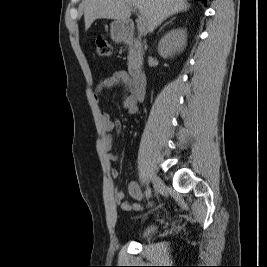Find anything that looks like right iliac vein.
<instances>
[{"instance_id": "1", "label": "right iliac vein", "mask_w": 267, "mask_h": 267, "mask_svg": "<svg viewBox=\"0 0 267 267\" xmlns=\"http://www.w3.org/2000/svg\"><path fill=\"white\" fill-rule=\"evenodd\" d=\"M151 180H152L155 192L161 193L165 188V184L156 175H152Z\"/></svg>"}]
</instances>
